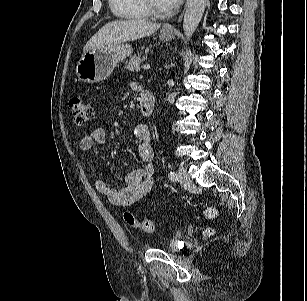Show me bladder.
I'll return each mask as SVG.
<instances>
[{"instance_id": "obj_1", "label": "bladder", "mask_w": 307, "mask_h": 301, "mask_svg": "<svg viewBox=\"0 0 307 301\" xmlns=\"http://www.w3.org/2000/svg\"><path fill=\"white\" fill-rule=\"evenodd\" d=\"M166 248L169 251L175 252L179 249V242L176 238H172L171 240L168 241Z\"/></svg>"}]
</instances>
